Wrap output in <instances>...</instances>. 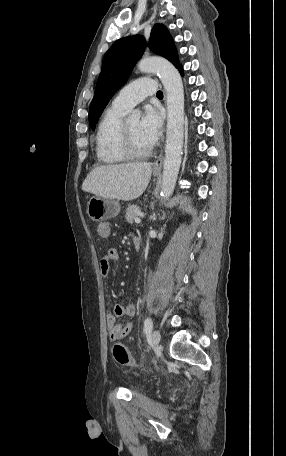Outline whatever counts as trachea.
<instances>
[{"label": "trachea", "mask_w": 286, "mask_h": 456, "mask_svg": "<svg viewBox=\"0 0 286 456\" xmlns=\"http://www.w3.org/2000/svg\"><path fill=\"white\" fill-rule=\"evenodd\" d=\"M157 97H163V92L162 91H158L157 94H156Z\"/></svg>", "instance_id": "trachea-1"}]
</instances>
